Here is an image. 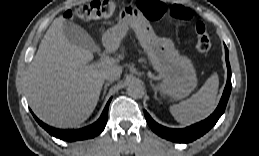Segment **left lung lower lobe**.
<instances>
[{
  "label": "left lung lower lobe",
  "mask_w": 259,
  "mask_h": 156,
  "mask_svg": "<svg viewBox=\"0 0 259 156\" xmlns=\"http://www.w3.org/2000/svg\"><path fill=\"white\" fill-rule=\"evenodd\" d=\"M226 64L228 69L227 83L216 110L207 119L183 129H172L156 123L144 110L146 121L150 128L159 136L177 143H189L208 132L224 113L231 92V68L228 59V49L225 46Z\"/></svg>",
  "instance_id": "1"
}]
</instances>
